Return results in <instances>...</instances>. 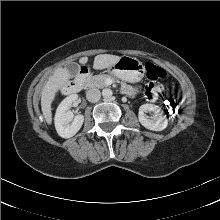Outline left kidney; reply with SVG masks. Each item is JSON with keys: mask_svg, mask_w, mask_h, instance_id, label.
Wrapping results in <instances>:
<instances>
[{"mask_svg": "<svg viewBox=\"0 0 220 220\" xmlns=\"http://www.w3.org/2000/svg\"><path fill=\"white\" fill-rule=\"evenodd\" d=\"M150 111L154 116L150 119L145 112ZM138 119L141 125L152 131H162L168 125V120L164 111L154 104H143L139 108Z\"/></svg>", "mask_w": 220, "mask_h": 220, "instance_id": "left-kidney-1", "label": "left kidney"}]
</instances>
